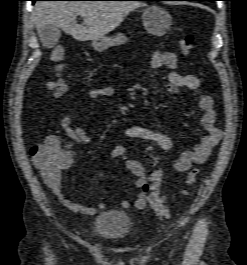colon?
I'll return each instance as SVG.
<instances>
[{
    "mask_svg": "<svg viewBox=\"0 0 247 265\" xmlns=\"http://www.w3.org/2000/svg\"><path fill=\"white\" fill-rule=\"evenodd\" d=\"M193 45L194 37L192 35H185L178 43L182 55H189L193 49ZM51 61L54 64L55 72L52 79L48 82V86L57 97H60L67 91V86L59 74L65 63L64 49L61 47L54 48L51 52ZM148 150H151V148L149 147ZM125 154L126 150L123 146H116L111 151V158L114 160L122 159L125 157ZM31 155L42 168L50 172L66 170L68 163L67 156L60 148L53 146L49 147L46 146L45 143L37 144L31 148ZM153 160H156V157H153ZM198 174V168H193L188 173L186 182L189 186L195 185ZM162 179L163 173L160 168H155L150 172V180L152 184L150 185L151 192L148 195V200L151 207L158 215L166 216L169 214L170 210L169 207L164 204L163 199L159 194Z\"/></svg>",
    "mask_w": 247,
    "mask_h": 265,
    "instance_id": "obj_1",
    "label": "colon"
}]
</instances>
